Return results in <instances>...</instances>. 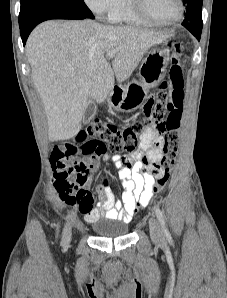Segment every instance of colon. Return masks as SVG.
Returning a JSON list of instances; mask_svg holds the SVG:
<instances>
[{"label": "colon", "instance_id": "obj_1", "mask_svg": "<svg viewBox=\"0 0 227 298\" xmlns=\"http://www.w3.org/2000/svg\"><path fill=\"white\" fill-rule=\"evenodd\" d=\"M172 52V64L169 70L168 91L157 92L155 98L157 103L156 112L151 115H144L142 120L134 121L125 127H117L113 124L94 120L86 129L82 130L76 137L74 142H110L107 150L113 152L133 151L139 144V136L149 127L156 125H166L163 133V156L159 161L162 168V174L155 179L150 185L149 191L156 194L166 185L170 170L174 163L178 147L177 130L180 127L182 117V107L184 102V81L183 73L179 63V56L183 49V45L177 42L168 45ZM161 88V87H160ZM94 137V138H92ZM83 179L79 177L77 184ZM59 197L67 204L75 203L80 192H77V185H70L67 188L58 191Z\"/></svg>", "mask_w": 227, "mask_h": 298}]
</instances>
